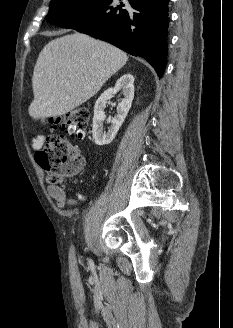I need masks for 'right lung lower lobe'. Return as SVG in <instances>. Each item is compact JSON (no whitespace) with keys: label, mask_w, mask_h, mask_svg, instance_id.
Masks as SVG:
<instances>
[{"label":"right lung lower lobe","mask_w":233,"mask_h":328,"mask_svg":"<svg viewBox=\"0 0 233 328\" xmlns=\"http://www.w3.org/2000/svg\"><path fill=\"white\" fill-rule=\"evenodd\" d=\"M168 2L98 0L53 24L75 29L133 56L143 57L161 78L167 56Z\"/></svg>","instance_id":"98d812e1"}]
</instances>
